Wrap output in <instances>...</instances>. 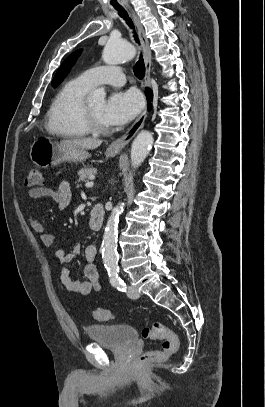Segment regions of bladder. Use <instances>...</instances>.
<instances>
[{"instance_id": "31cf9c89", "label": "bladder", "mask_w": 265, "mask_h": 407, "mask_svg": "<svg viewBox=\"0 0 265 407\" xmlns=\"http://www.w3.org/2000/svg\"><path fill=\"white\" fill-rule=\"evenodd\" d=\"M86 334L90 340L114 349H123L139 339V332L129 325H90Z\"/></svg>"}]
</instances>
